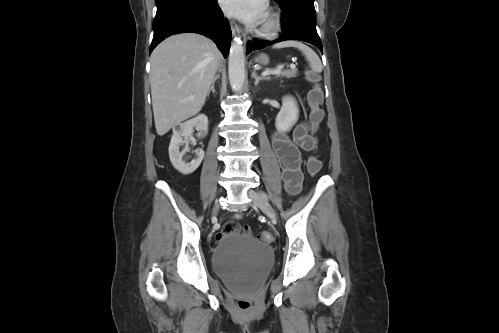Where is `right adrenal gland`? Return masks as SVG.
I'll return each instance as SVG.
<instances>
[{"label":"right adrenal gland","mask_w":499,"mask_h":333,"mask_svg":"<svg viewBox=\"0 0 499 333\" xmlns=\"http://www.w3.org/2000/svg\"><path fill=\"white\" fill-rule=\"evenodd\" d=\"M219 79V75H216L211 83V87L210 89L208 90V93L207 95L209 96L210 95V92L212 91L213 93H215V89H214V84L216 82V80Z\"/></svg>","instance_id":"1"}]
</instances>
